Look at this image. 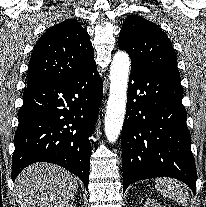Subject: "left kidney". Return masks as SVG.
Masks as SVG:
<instances>
[{"label": "left kidney", "mask_w": 206, "mask_h": 207, "mask_svg": "<svg viewBox=\"0 0 206 207\" xmlns=\"http://www.w3.org/2000/svg\"><path fill=\"white\" fill-rule=\"evenodd\" d=\"M144 207H162V206L156 200L150 198L145 202Z\"/></svg>", "instance_id": "1"}]
</instances>
